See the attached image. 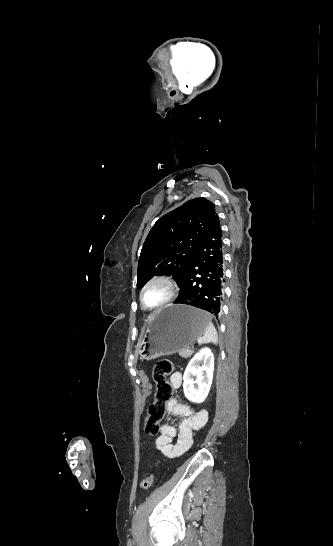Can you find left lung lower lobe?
<instances>
[{
	"mask_svg": "<svg viewBox=\"0 0 333 546\" xmlns=\"http://www.w3.org/2000/svg\"><path fill=\"white\" fill-rule=\"evenodd\" d=\"M223 263L222 232L217 217L200 239L174 303L198 307L219 317L223 299Z\"/></svg>",
	"mask_w": 333,
	"mask_h": 546,
	"instance_id": "1",
	"label": "left lung lower lobe"
}]
</instances>
